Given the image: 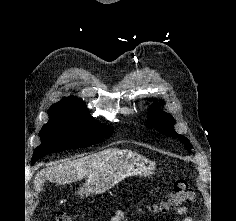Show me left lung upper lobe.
I'll return each mask as SVG.
<instances>
[{"instance_id":"5c2ea615","label":"left lung upper lobe","mask_w":236,"mask_h":221,"mask_svg":"<svg viewBox=\"0 0 236 221\" xmlns=\"http://www.w3.org/2000/svg\"><path fill=\"white\" fill-rule=\"evenodd\" d=\"M174 123V118L170 114L153 107L148 116L147 127L156 128L160 133L168 137H177L181 143L185 144L187 150L190 152L192 145L186 137L177 134L173 130Z\"/></svg>"}]
</instances>
